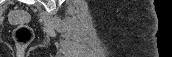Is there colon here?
I'll return each instance as SVG.
<instances>
[{
    "label": "colon",
    "mask_w": 172,
    "mask_h": 57,
    "mask_svg": "<svg viewBox=\"0 0 172 57\" xmlns=\"http://www.w3.org/2000/svg\"><path fill=\"white\" fill-rule=\"evenodd\" d=\"M28 19L29 16L25 11L14 10L9 14L10 23L16 26L13 32V38L18 49L21 51L26 49L34 39L32 28L26 24Z\"/></svg>",
    "instance_id": "5ec220e1"
}]
</instances>
